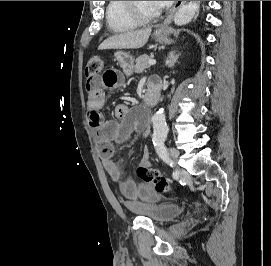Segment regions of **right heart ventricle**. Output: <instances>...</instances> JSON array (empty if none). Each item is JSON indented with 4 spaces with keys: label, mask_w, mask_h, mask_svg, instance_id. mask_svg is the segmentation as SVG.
<instances>
[{
    "label": "right heart ventricle",
    "mask_w": 271,
    "mask_h": 266,
    "mask_svg": "<svg viewBox=\"0 0 271 266\" xmlns=\"http://www.w3.org/2000/svg\"><path fill=\"white\" fill-rule=\"evenodd\" d=\"M106 20L110 29L117 33L129 32L138 26L127 14L124 1H108Z\"/></svg>",
    "instance_id": "1"
}]
</instances>
